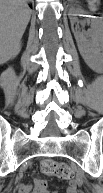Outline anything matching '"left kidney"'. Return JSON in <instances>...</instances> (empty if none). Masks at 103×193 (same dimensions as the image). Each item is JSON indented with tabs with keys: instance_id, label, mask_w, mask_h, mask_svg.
<instances>
[{
	"instance_id": "1",
	"label": "left kidney",
	"mask_w": 103,
	"mask_h": 193,
	"mask_svg": "<svg viewBox=\"0 0 103 193\" xmlns=\"http://www.w3.org/2000/svg\"><path fill=\"white\" fill-rule=\"evenodd\" d=\"M84 10L81 8H71L68 15L72 25L76 22V16H83ZM88 17V16H87ZM90 21L91 29L87 32L74 31V36L78 45V50L85 63L95 72L100 73L103 69V28L101 21L92 17ZM89 36L90 39H87Z\"/></svg>"
}]
</instances>
